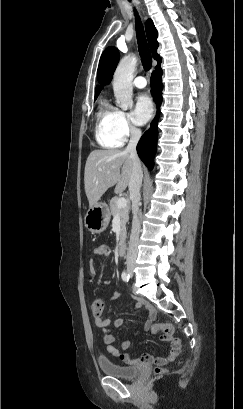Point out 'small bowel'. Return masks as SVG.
Instances as JSON below:
<instances>
[{"instance_id": "c3829d8e", "label": "small bowel", "mask_w": 243, "mask_h": 409, "mask_svg": "<svg viewBox=\"0 0 243 409\" xmlns=\"http://www.w3.org/2000/svg\"><path fill=\"white\" fill-rule=\"evenodd\" d=\"M94 254L101 257L106 258L112 254V249L104 244H99L94 249ZM90 267L91 273L94 275L93 270V258L90 259ZM115 297H112L113 300ZM137 307H143L146 311V321L144 323V329L146 331H151L153 327V322L156 318V311L150 304L139 300L137 302ZM95 324L100 328L102 339L106 345V351L112 356L121 359L126 364H149L155 363L158 365H166L169 363H173L181 354V340L177 337H174L173 334H164L160 341L161 343L168 346V351L166 355L159 356V357H152L150 355H142L137 359H133L128 354L121 352L119 349L114 347L112 344L115 340L114 335L112 333L111 327H120L122 325V321L120 319H109L102 315V311L94 315ZM131 345L129 340H125L121 343L122 349H128Z\"/></svg>"}]
</instances>
